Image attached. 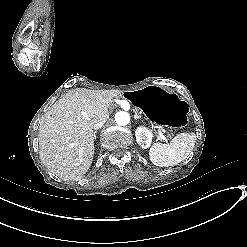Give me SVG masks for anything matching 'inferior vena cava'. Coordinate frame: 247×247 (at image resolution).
<instances>
[{
	"instance_id": "1",
	"label": "inferior vena cava",
	"mask_w": 247,
	"mask_h": 247,
	"mask_svg": "<svg viewBox=\"0 0 247 247\" xmlns=\"http://www.w3.org/2000/svg\"><path fill=\"white\" fill-rule=\"evenodd\" d=\"M105 122H106V120H99L98 122H96L93 125V129H95V130L100 129L104 125Z\"/></svg>"
}]
</instances>
